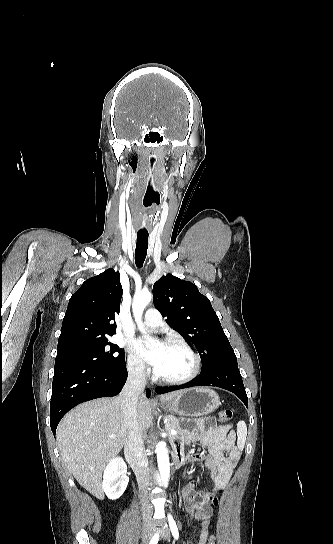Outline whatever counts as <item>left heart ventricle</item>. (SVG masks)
I'll list each match as a JSON object with an SVG mask.
<instances>
[{
    "label": "left heart ventricle",
    "instance_id": "b2bd125f",
    "mask_svg": "<svg viewBox=\"0 0 333 544\" xmlns=\"http://www.w3.org/2000/svg\"><path fill=\"white\" fill-rule=\"evenodd\" d=\"M193 366V359L184 349L166 345L161 363L155 370L164 378H181L187 375Z\"/></svg>",
    "mask_w": 333,
    "mask_h": 544
}]
</instances>
